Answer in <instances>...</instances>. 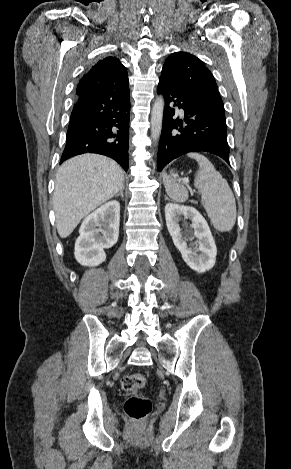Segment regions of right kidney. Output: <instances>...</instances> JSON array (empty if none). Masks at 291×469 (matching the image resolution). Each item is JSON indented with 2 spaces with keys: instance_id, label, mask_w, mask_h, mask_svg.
<instances>
[{
  "instance_id": "ca27d5eb",
  "label": "right kidney",
  "mask_w": 291,
  "mask_h": 469,
  "mask_svg": "<svg viewBox=\"0 0 291 469\" xmlns=\"http://www.w3.org/2000/svg\"><path fill=\"white\" fill-rule=\"evenodd\" d=\"M120 204L113 200L88 215L75 242V258L83 266H97L106 259L104 249L116 244L119 236Z\"/></svg>"
}]
</instances>
